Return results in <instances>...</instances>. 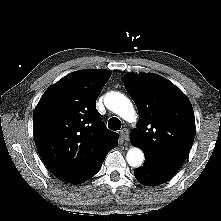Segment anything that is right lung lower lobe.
Instances as JSON below:
<instances>
[{
    "label": "right lung lower lobe",
    "instance_id": "obj_1",
    "mask_svg": "<svg viewBox=\"0 0 221 221\" xmlns=\"http://www.w3.org/2000/svg\"><path fill=\"white\" fill-rule=\"evenodd\" d=\"M105 157H103L101 160H99V162L96 165H94L87 173H85L83 176H81L79 179H77L73 184L82 183V182L86 181L87 179H89L90 177L94 176L100 170Z\"/></svg>",
    "mask_w": 221,
    "mask_h": 221
}]
</instances>
